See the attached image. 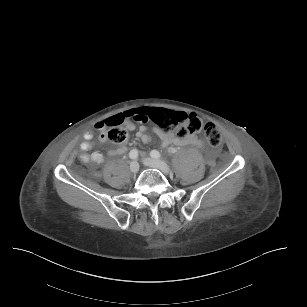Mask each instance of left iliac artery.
Here are the masks:
<instances>
[{"mask_svg": "<svg viewBox=\"0 0 307 307\" xmlns=\"http://www.w3.org/2000/svg\"><path fill=\"white\" fill-rule=\"evenodd\" d=\"M150 156H151L152 158L157 159V158H160V157H161V154H160L157 150H152L151 153H150Z\"/></svg>", "mask_w": 307, "mask_h": 307, "instance_id": "obj_1", "label": "left iliac artery"}]
</instances>
